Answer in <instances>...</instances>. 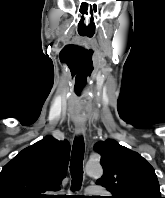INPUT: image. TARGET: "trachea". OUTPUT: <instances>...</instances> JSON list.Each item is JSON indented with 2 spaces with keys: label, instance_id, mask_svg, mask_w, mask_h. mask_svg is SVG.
<instances>
[{
  "label": "trachea",
  "instance_id": "obj_1",
  "mask_svg": "<svg viewBox=\"0 0 165 198\" xmlns=\"http://www.w3.org/2000/svg\"><path fill=\"white\" fill-rule=\"evenodd\" d=\"M85 144L82 137L74 139L71 162H70V172L72 176V187L73 191L79 190L81 187V182L83 179V158H84ZM71 198H81L79 196H73Z\"/></svg>",
  "mask_w": 165,
  "mask_h": 198
}]
</instances>
